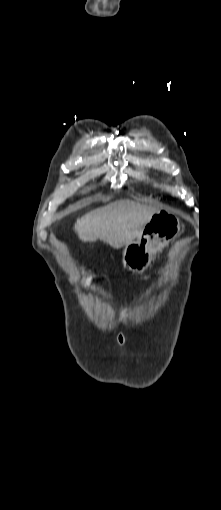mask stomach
I'll return each mask as SVG.
<instances>
[{
  "label": "stomach",
  "mask_w": 221,
  "mask_h": 510,
  "mask_svg": "<svg viewBox=\"0 0 221 510\" xmlns=\"http://www.w3.org/2000/svg\"><path fill=\"white\" fill-rule=\"evenodd\" d=\"M180 220L167 211L153 214L136 241L125 246L123 266L130 271L145 269L155 255L180 233Z\"/></svg>",
  "instance_id": "0dacf381"
}]
</instances>
